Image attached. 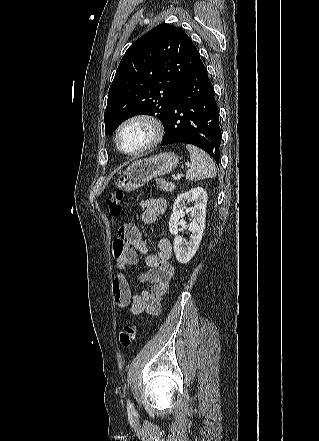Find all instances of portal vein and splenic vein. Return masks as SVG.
<instances>
[{"label":"portal vein and splenic vein","mask_w":319,"mask_h":441,"mask_svg":"<svg viewBox=\"0 0 319 441\" xmlns=\"http://www.w3.org/2000/svg\"><path fill=\"white\" fill-rule=\"evenodd\" d=\"M175 179H180L181 178V174H177L176 176H174Z\"/></svg>","instance_id":"18ae733b"}]
</instances>
